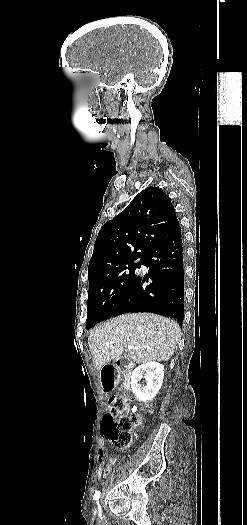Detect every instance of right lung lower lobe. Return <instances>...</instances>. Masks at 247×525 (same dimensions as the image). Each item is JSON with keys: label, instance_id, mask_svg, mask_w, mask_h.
Returning a JSON list of instances; mask_svg holds the SVG:
<instances>
[{"label": "right lung lower lobe", "instance_id": "98d812e1", "mask_svg": "<svg viewBox=\"0 0 247 525\" xmlns=\"http://www.w3.org/2000/svg\"><path fill=\"white\" fill-rule=\"evenodd\" d=\"M142 261L149 268L148 274L136 278L113 316L129 312H153L181 322L184 301L181 229L150 247Z\"/></svg>", "mask_w": 247, "mask_h": 525}]
</instances>
